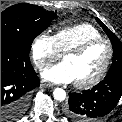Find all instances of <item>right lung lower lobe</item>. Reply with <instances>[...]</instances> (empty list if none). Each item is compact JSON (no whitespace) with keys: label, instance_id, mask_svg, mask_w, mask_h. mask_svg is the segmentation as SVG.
I'll return each mask as SVG.
<instances>
[{"label":"right lung lower lobe","instance_id":"98d812e1","mask_svg":"<svg viewBox=\"0 0 122 122\" xmlns=\"http://www.w3.org/2000/svg\"><path fill=\"white\" fill-rule=\"evenodd\" d=\"M40 85L29 50L1 42V122H16L26 111L29 92Z\"/></svg>","mask_w":122,"mask_h":122}]
</instances>
